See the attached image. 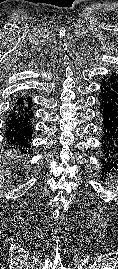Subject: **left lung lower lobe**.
<instances>
[{
	"mask_svg": "<svg viewBox=\"0 0 118 269\" xmlns=\"http://www.w3.org/2000/svg\"><path fill=\"white\" fill-rule=\"evenodd\" d=\"M100 113L102 115V164L109 170L118 165V90L102 83Z\"/></svg>",
	"mask_w": 118,
	"mask_h": 269,
	"instance_id": "0a47b994",
	"label": "left lung lower lobe"
}]
</instances>
